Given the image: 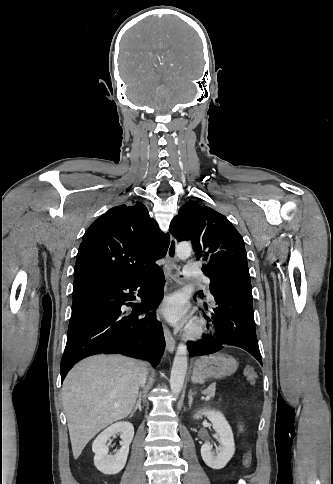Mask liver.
I'll return each mask as SVG.
<instances>
[{
  "label": "liver",
  "instance_id": "obj_1",
  "mask_svg": "<svg viewBox=\"0 0 333 484\" xmlns=\"http://www.w3.org/2000/svg\"><path fill=\"white\" fill-rule=\"evenodd\" d=\"M143 368V362L125 356L96 355L67 374L62 400L74 459L98 432L132 412Z\"/></svg>",
  "mask_w": 333,
  "mask_h": 484
}]
</instances>
